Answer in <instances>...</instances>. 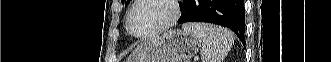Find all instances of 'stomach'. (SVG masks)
Masks as SVG:
<instances>
[{
	"instance_id": "obj_1",
	"label": "stomach",
	"mask_w": 331,
	"mask_h": 62,
	"mask_svg": "<svg viewBox=\"0 0 331 62\" xmlns=\"http://www.w3.org/2000/svg\"><path fill=\"white\" fill-rule=\"evenodd\" d=\"M200 48V41L184 30H170L141 43L131 62H188Z\"/></svg>"
}]
</instances>
